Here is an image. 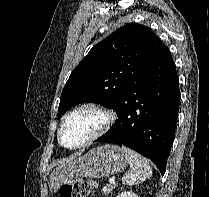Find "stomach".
<instances>
[{"label":"stomach","instance_id":"obj_1","mask_svg":"<svg viewBox=\"0 0 209 197\" xmlns=\"http://www.w3.org/2000/svg\"><path fill=\"white\" fill-rule=\"evenodd\" d=\"M127 164L123 150L116 145L106 144L91 149L74 160L67 161L53 170L49 177V188L57 191L82 177L102 178L122 172Z\"/></svg>","mask_w":209,"mask_h":197}]
</instances>
